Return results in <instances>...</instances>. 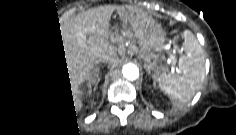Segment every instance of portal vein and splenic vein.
<instances>
[{
    "instance_id": "obj_1",
    "label": "portal vein and splenic vein",
    "mask_w": 236,
    "mask_h": 135,
    "mask_svg": "<svg viewBox=\"0 0 236 135\" xmlns=\"http://www.w3.org/2000/svg\"><path fill=\"white\" fill-rule=\"evenodd\" d=\"M83 38L86 39V37H83ZM175 50H178L180 52L182 51V50H179L177 46H174V51ZM169 60H170V62L172 63V65L174 67L176 65V57H175V55L174 54H170L169 55Z\"/></svg>"
}]
</instances>
